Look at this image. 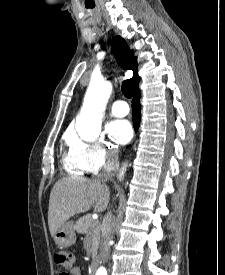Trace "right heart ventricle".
<instances>
[{"label":"right heart ventricle","instance_id":"1","mask_svg":"<svg viewBox=\"0 0 225 275\" xmlns=\"http://www.w3.org/2000/svg\"><path fill=\"white\" fill-rule=\"evenodd\" d=\"M69 139L70 136L67 137L68 141ZM63 164L65 169L71 174L82 176L86 172V170L82 167L77 158L71 152L64 157Z\"/></svg>","mask_w":225,"mask_h":275}]
</instances>
